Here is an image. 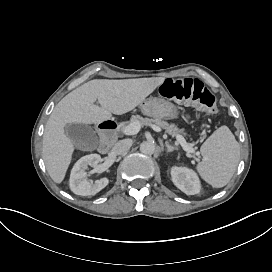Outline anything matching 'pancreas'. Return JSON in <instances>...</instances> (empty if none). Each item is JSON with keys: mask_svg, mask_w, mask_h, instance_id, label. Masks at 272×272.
Instances as JSON below:
<instances>
[{"mask_svg": "<svg viewBox=\"0 0 272 272\" xmlns=\"http://www.w3.org/2000/svg\"><path fill=\"white\" fill-rule=\"evenodd\" d=\"M133 123H137L139 126H151L153 128H158L164 130L169 135H176L175 130L173 129V125H169L167 122H162L157 118H144L139 115H135L132 118ZM183 136H185V133H182Z\"/></svg>", "mask_w": 272, "mask_h": 272, "instance_id": "pancreas-1", "label": "pancreas"}]
</instances>
